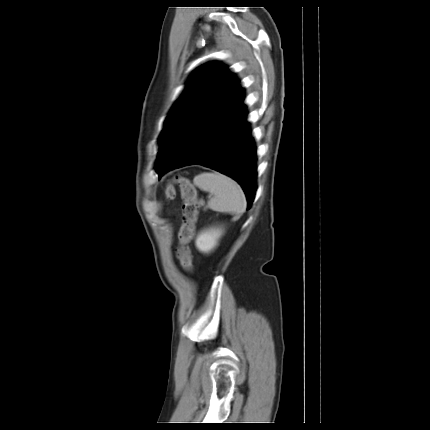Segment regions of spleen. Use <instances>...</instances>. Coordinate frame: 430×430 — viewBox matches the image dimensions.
I'll list each match as a JSON object with an SVG mask.
<instances>
[{
	"label": "spleen",
	"instance_id": "obj_1",
	"mask_svg": "<svg viewBox=\"0 0 430 430\" xmlns=\"http://www.w3.org/2000/svg\"><path fill=\"white\" fill-rule=\"evenodd\" d=\"M194 185L213 194L208 207L218 212L242 214L246 199L241 187L228 176L220 173H201L194 177Z\"/></svg>",
	"mask_w": 430,
	"mask_h": 430
}]
</instances>
